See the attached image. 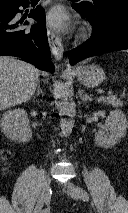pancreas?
<instances>
[{"label":"pancreas","instance_id":"cf45deb5","mask_svg":"<svg viewBox=\"0 0 128 213\" xmlns=\"http://www.w3.org/2000/svg\"><path fill=\"white\" fill-rule=\"evenodd\" d=\"M99 101L102 102L105 105H111L112 107L123 106V102L120 99H118L114 96H109L107 98H101Z\"/></svg>","mask_w":128,"mask_h":213}]
</instances>
